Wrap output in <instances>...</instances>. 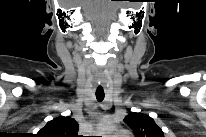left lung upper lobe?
<instances>
[{
  "mask_svg": "<svg viewBox=\"0 0 206 137\" xmlns=\"http://www.w3.org/2000/svg\"><path fill=\"white\" fill-rule=\"evenodd\" d=\"M124 122L133 130L135 137H164L163 131L148 115L131 112Z\"/></svg>",
  "mask_w": 206,
  "mask_h": 137,
  "instance_id": "obj_1",
  "label": "left lung upper lobe"
}]
</instances>
